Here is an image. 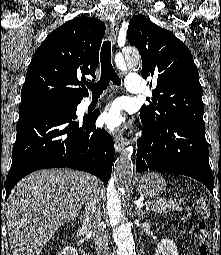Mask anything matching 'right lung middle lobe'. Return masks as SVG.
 Wrapping results in <instances>:
<instances>
[{
  "label": "right lung middle lobe",
  "mask_w": 221,
  "mask_h": 255,
  "mask_svg": "<svg viewBox=\"0 0 221 255\" xmlns=\"http://www.w3.org/2000/svg\"><path fill=\"white\" fill-rule=\"evenodd\" d=\"M77 103H47L34 107H55L68 111L70 114L76 116Z\"/></svg>",
  "instance_id": "dd1d6c3e"
}]
</instances>
